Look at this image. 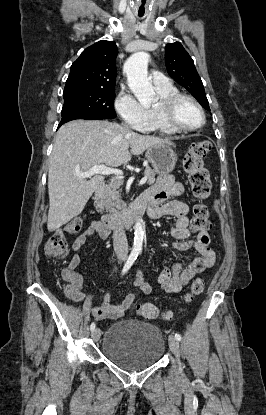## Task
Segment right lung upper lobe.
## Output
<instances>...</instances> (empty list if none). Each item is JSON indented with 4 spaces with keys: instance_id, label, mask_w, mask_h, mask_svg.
Masks as SVG:
<instances>
[{
    "instance_id": "right-lung-upper-lobe-1",
    "label": "right lung upper lobe",
    "mask_w": 266,
    "mask_h": 415,
    "mask_svg": "<svg viewBox=\"0 0 266 415\" xmlns=\"http://www.w3.org/2000/svg\"><path fill=\"white\" fill-rule=\"evenodd\" d=\"M117 53L114 41L101 40L86 48L72 64L64 92L115 89Z\"/></svg>"
}]
</instances>
